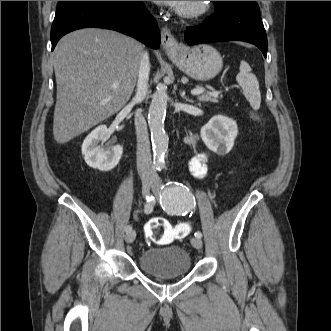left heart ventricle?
Masks as SVG:
<instances>
[{"mask_svg":"<svg viewBox=\"0 0 331 331\" xmlns=\"http://www.w3.org/2000/svg\"><path fill=\"white\" fill-rule=\"evenodd\" d=\"M193 1H183V3L180 6H189Z\"/></svg>","mask_w":331,"mask_h":331,"instance_id":"obj_1","label":"left heart ventricle"}]
</instances>
